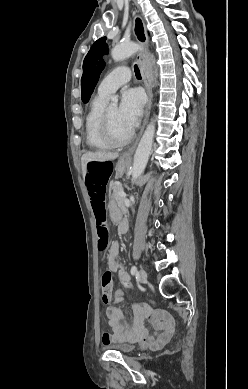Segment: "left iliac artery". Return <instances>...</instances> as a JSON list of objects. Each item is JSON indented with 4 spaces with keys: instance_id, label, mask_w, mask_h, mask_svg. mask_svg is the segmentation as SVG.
I'll return each instance as SVG.
<instances>
[{
    "instance_id": "obj_1",
    "label": "left iliac artery",
    "mask_w": 248,
    "mask_h": 389,
    "mask_svg": "<svg viewBox=\"0 0 248 389\" xmlns=\"http://www.w3.org/2000/svg\"><path fill=\"white\" fill-rule=\"evenodd\" d=\"M137 273V267L136 266H132L131 268V274L132 275H135Z\"/></svg>"
}]
</instances>
